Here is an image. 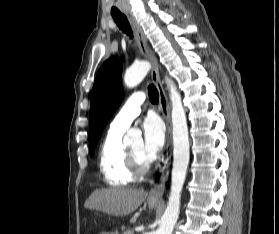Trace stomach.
I'll use <instances>...</instances> for the list:
<instances>
[{
  "label": "stomach",
  "mask_w": 279,
  "mask_h": 234,
  "mask_svg": "<svg viewBox=\"0 0 279 234\" xmlns=\"http://www.w3.org/2000/svg\"><path fill=\"white\" fill-rule=\"evenodd\" d=\"M148 205L150 208H156L159 205V202L149 200Z\"/></svg>",
  "instance_id": "0dacf381"
}]
</instances>
